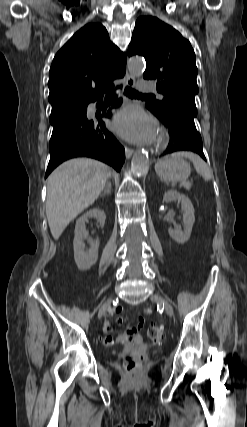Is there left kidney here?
<instances>
[{"label":"left kidney","mask_w":247,"mask_h":427,"mask_svg":"<svg viewBox=\"0 0 247 427\" xmlns=\"http://www.w3.org/2000/svg\"><path fill=\"white\" fill-rule=\"evenodd\" d=\"M164 202H171V201H178L182 205V210L184 211L183 214V229L181 228L177 229H168V233L170 237L176 241L178 244H184L186 243L191 235L192 227L195 222V216H194V207L192 202L188 197H186L184 194H181L177 191L170 190L164 194L163 197Z\"/></svg>","instance_id":"obj_1"}]
</instances>
